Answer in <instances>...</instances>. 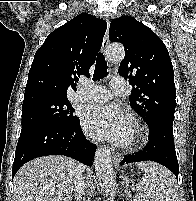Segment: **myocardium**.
<instances>
[{
  "instance_id": "f54148a6",
  "label": "myocardium",
  "mask_w": 196,
  "mask_h": 201,
  "mask_svg": "<svg viewBox=\"0 0 196 201\" xmlns=\"http://www.w3.org/2000/svg\"><path fill=\"white\" fill-rule=\"evenodd\" d=\"M146 138H147V131L145 127L142 124L138 123L134 127L133 138L128 143L125 144V148L127 150H135L139 148L146 141Z\"/></svg>"
}]
</instances>
